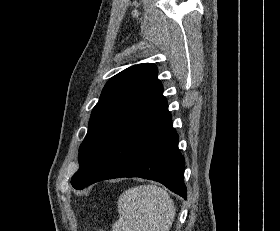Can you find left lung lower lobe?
Instances as JSON below:
<instances>
[{
	"label": "left lung lower lobe",
	"mask_w": 280,
	"mask_h": 231,
	"mask_svg": "<svg viewBox=\"0 0 280 231\" xmlns=\"http://www.w3.org/2000/svg\"><path fill=\"white\" fill-rule=\"evenodd\" d=\"M184 164L165 100L113 137L75 189L107 179L141 177L158 181L186 199Z\"/></svg>",
	"instance_id": "0a47b994"
}]
</instances>
